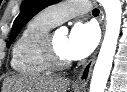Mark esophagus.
<instances>
[{"instance_id": "esophagus-1", "label": "esophagus", "mask_w": 127, "mask_h": 92, "mask_svg": "<svg viewBox=\"0 0 127 92\" xmlns=\"http://www.w3.org/2000/svg\"><path fill=\"white\" fill-rule=\"evenodd\" d=\"M102 19H104V12L101 11ZM105 21L102 23V29L104 31ZM96 60V55H93L92 58L84 65L81 71L78 74L77 79L73 82V86L76 88H84L91 76L93 65Z\"/></svg>"}]
</instances>
